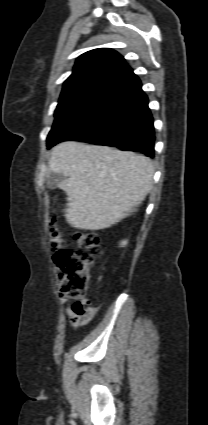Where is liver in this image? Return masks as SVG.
<instances>
[{"label": "liver", "instance_id": "6515ba94", "mask_svg": "<svg viewBox=\"0 0 208 425\" xmlns=\"http://www.w3.org/2000/svg\"><path fill=\"white\" fill-rule=\"evenodd\" d=\"M49 170L67 177L59 185L69 200L66 221L92 231L129 216L150 192L154 174L148 157L73 141L52 149Z\"/></svg>", "mask_w": 208, "mask_h": 425}]
</instances>
